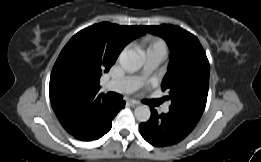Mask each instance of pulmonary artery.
Masks as SVG:
<instances>
[{"label":"pulmonary artery","instance_id":"1","mask_svg":"<svg viewBox=\"0 0 261 162\" xmlns=\"http://www.w3.org/2000/svg\"><path fill=\"white\" fill-rule=\"evenodd\" d=\"M165 54L162 52H148L145 57L144 69L140 76H130L119 80L107 81L105 88L107 90L126 94L134 91L139 87L144 78L149 75L164 59ZM161 112L167 113L169 111V105L163 104L160 108Z\"/></svg>","mask_w":261,"mask_h":162}]
</instances>
